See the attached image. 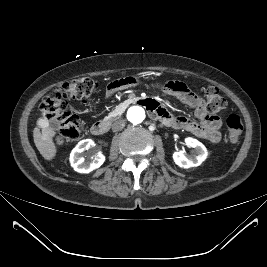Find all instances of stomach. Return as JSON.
I'll list each match as a JSON object with an SVG mask.
<instances>
[{
  "mask_svg": "<svg viewBox=\"0 0 267 267\" xmlns=\"http://www.w3.org/2000/svg\"><path fill=\"white\" fill-rule=\"evenodd\" d=\"M142 76L146 79H153L152 74L150 73H144Z\"/></svg>",
  "mask_w": 267,
  "mask_h": 267,
  "instance_id": "1",
  "label": "stomach"
}]
</instances>
